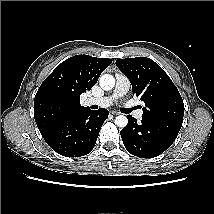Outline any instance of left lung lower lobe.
I'll list each match as a JSON object with an SVG mask.
<instances>
[{
    "label": "left lung lower lobe",
    "instance_id": "0a47b994",
    "mask_svg": "<svg viewBox=\"0 0 214 214\" xmlns=\"http://www.w3.org/2000/svg\"><path fill=\"white\" fill-rule=\"evenodd\" d=\"M128 124L120 131L125 148L140 158L157 157L175 141L182 125L142 117L140 123L128 115Z\"/></svg>",
    "mask_w": 214,
    "mask_h": 214
}]
</instances>
